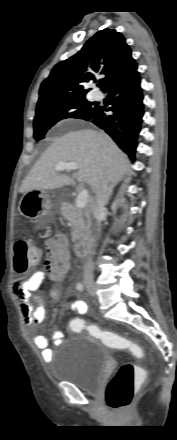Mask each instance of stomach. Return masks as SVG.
<instances>
[{
  "label": "stomach",
  "mask_w": 177,
  "mask_h": 440,
  "mask_svg": "<svg viewBox=\"0 0 177 440\" xmlns=\"http://www.w3.org/2000/svg\"><path fill=\"white\" fill-rule=\"evenodd\" d=\"M19 211L24 217L43 225L57 214L58 206L46 190H32L22 196Z\"/></svg>",
  "instance_id": "1"
}]
</instances>
